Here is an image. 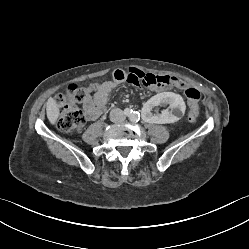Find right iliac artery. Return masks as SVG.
Instances as JSON below:
<instances>
[{"mask_svg":"<svg viewBox=\"0 0 249 249\" xmlns=\"http://www.w3.org/2000/svg\"><path fill=\"white\" fill-rule=\"evenodd\" d=\"M132 112H133V110H131V109H129V108L124 109V114H125L126 116H130V115L132 114Z\"/></svg>","mask_w":249,"mask_h":249,"instance_id":"right-iliac-artery-1","label":"right iliac artery"}]
</instances>
